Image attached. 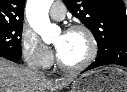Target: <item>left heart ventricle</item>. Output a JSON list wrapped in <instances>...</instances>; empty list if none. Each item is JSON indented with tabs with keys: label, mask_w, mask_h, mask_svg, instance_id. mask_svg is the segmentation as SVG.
Segmentation results:
<instances>
[{
	"label": "left heart ventricle",
	"mask_w": 127,
	"mask_h": 92,
	"mask_svg": "<svg viewBox=\"0 0 127 92\" xmlns=\"http://www.w3.org/2000/svg\"><path fill=\"white\" fill-rule=\"evenodd\" d=\"M54 43L60 46L58 56L67 65L81 63L89 52L88 39L82 32L58 34Z\"/></svg>",
	"instance_id": "b2bd125f"
}]
</instances>
